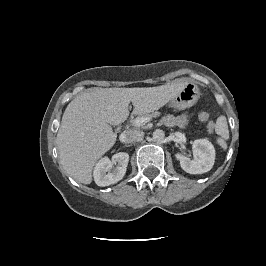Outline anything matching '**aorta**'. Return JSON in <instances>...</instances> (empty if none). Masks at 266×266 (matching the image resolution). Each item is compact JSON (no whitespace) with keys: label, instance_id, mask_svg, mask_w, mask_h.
I'll return each instance as SVG.
<instances>
[{"label":"aorta","instance_id":"aorta-1","mask_svg":"<svg viewBox=\"0 0 266 266\" xmlns=\"http://www.w3.org/2000/svg\"><path fill=\"white\" fill-rule=\"evenodd\" d=\"M165 137V133L163 130L161 129H156L154 132H153V139L156 141V142H161L163 141Z\"/></svg>","mask_w":266,"mask_h":266}]
</instances>
